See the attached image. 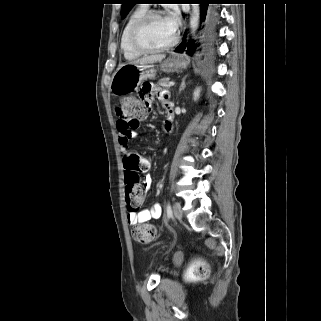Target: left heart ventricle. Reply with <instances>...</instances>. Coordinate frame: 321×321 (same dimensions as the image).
Segmentation results:
<instances>
[{
    "label": "left heart ventricle",
    "mask_w": 321,
    "mask_h": 321,
    "mask_svg": "<svg viewBox=\"0 0 321 321\" xmlns=\"http://www.w3.org/2000/svg\"><path fill=\"white\" fill-rule=\"evenodd\" d=\"M175 30L169 25L164 16L149 19L140 32V41L151 48L161 47L169 43Z\"/></svg>",
    "instance_id": "1"
}]
</instances>
